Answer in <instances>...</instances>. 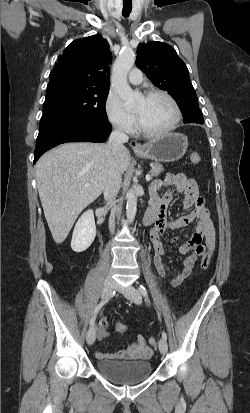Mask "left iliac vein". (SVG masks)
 Returning a JSON list of instances; mask_svg holds the SVG:
<instances>
[{
	"label": "left iliac vein",
	"mask_w": 250,
	"mask_h": 413,
	"mask_svg": "<svg viewBox=\"0 0 250 413\" xmlns=\"http://www.w3.org/2000/svg\"><path fill=\"white\" fill-rule=\"evenodd\" d=\"M116 289L120 291L127 299L134 302L135 304H140L142 302V297L140 292L133 286H116ZM159 351L164 355L167 352L168 344L164 338H161L158 343Z\"/></svg>",
	"instance_id": "1"
}]
</instances>
